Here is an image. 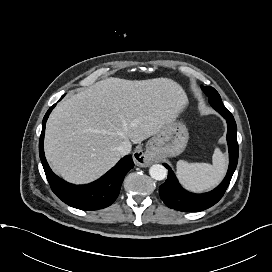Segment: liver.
Here are the masks:
<instances>
[{
	"label": "liver",
	"instance_id": "liver-1",
	"mask_svg": "<svg viewBox=\"0 0 272 272\" xmlns=\"http://www.w3.org/2000/svg\"><path fill=\"white\" fill-rule=\"evenodd\" d=\"M188 104L183 88L168 78L110 77L61 101L46 124L44 149L55 173L82 184L121 158L123 141L135 144L157 134Z\"/></svg>",
	"mask_w": 272,
	"mask_h": 272
}]
</instances>
